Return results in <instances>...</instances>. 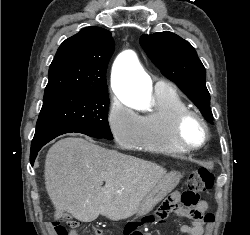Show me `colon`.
Segmentation results:
<instances>
[{"instance_id":"5ec220e1","label":"colon","mask_w":250,"mask_h":235,"mask_svg":"<svg viewBox=\"0 0 250 235\" xmlns=\"http://www.w3.org/2000/svg\"><path fill=\"white\" fill-rule=\"evenodd\" d=\"M213 183L214 176L207 169L200 168L193 171L186 180V189L182 193L181 203L187 208L196 207L200 194L210 190L213 187ZM160 210L161 208L154 215L149 217V220L158 221ZM190 216L193 218L198 217V213L192 211ZM203 219L205 222H212L213 215L206 214ZM67 223L69 229H67L58 221L53 222V226L57 235H72V233L75 232L74 229L78 226V223L72 219H69Z\"/></svg>"}]
</instances>
